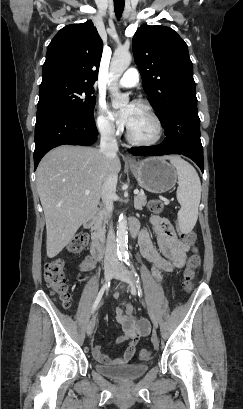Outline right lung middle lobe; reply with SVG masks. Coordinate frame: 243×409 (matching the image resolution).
<instances>
[{
    "label": "right lung middle lobe",
    "mask_w": 243,
    "mask_h": 409,
    "mask_svg": "<svg viewBox=\"0 0 243 409\" xmlns=\"http://www.w3.org/2000/svg\"><path fill=\"white\" fill-rule=\"evenodd\" d=\"M93 93L92 86L70 79H43L39 90L37 117L49 112L93 117L95 105Z\"/></svg>",
    "instance_id": "obj_1"
}]
</instances>
